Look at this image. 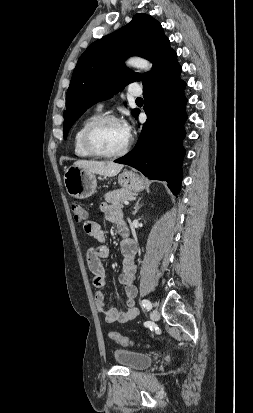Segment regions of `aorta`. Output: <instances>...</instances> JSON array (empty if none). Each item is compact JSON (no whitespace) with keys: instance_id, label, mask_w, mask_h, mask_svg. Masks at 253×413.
Here are the masks:
<instances>
[{"instance_id":"1","label":"aorta","mask_w":253,"mask_h":413,"mask_svg":"<svg viewBox=\"0 0 253 413\" xmlns=\"http://www.w3.org/2000/svg\"><path fill=\"white\" fill-rule=\"evenodd\" d=\"M127 65L145 71H149L152 68V64L149 61L140 57H132L128 59Z\"/></svg>"}]
</instances>
